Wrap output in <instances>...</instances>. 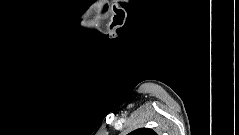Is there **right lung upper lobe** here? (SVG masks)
<instances>
[{
	"instance_id": "1",
	"label": "right lung upper lobe",
	"mask_w": 239,
	"mask_h": 135,
	"mask_svg": "<svg viewBox=\"0 0 239 135\" xmlns=\"http://www.w3.org/2000/svg\"><path fill=\"white\" fill-rule=\"evenodd\" d=\"M128 135H156V133L149 128H140L129 133Z\"/></svg>"
}]
</instances>
